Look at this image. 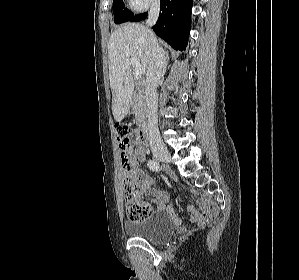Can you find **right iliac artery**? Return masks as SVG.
<instances>
[{
	"label": "right iliac artery",
	"instance_id": "1",
	"mask_svg": "<svg viewBox=\"0 0 299 280\" xmlns=\"http://www.w3.org/2000/svg\"><path fill=\"white\" fill-rule=\"evenodd\" d=\"M148 167L150 168V170L152 171H159L160 170V165L158 162L154 161V160H149L148 161Z\"/></svg>",
	"mask_w": 299,
	"mask_h": 280
}]
</instances>
